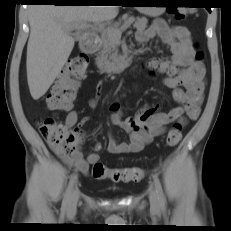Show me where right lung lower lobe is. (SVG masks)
I'll return each mask as SVG.
<instances>
[{
	"instance_id": "right-lung-lower-lobe-1",
	"label": "right lung lower lobe",
	"mask_w": 231,
	"mask_h": 231,
	"mask_svg": "<svg viewBox=\"0 0 231 231\" xmlns=\"http://www.w3.org/2000/svg\"><path fill=\"white\" fill-rule=\"evenodd\" d=\"M30 3H52L54 5H81L80 0H26Z\"/></svg>"
}]
</instances>
